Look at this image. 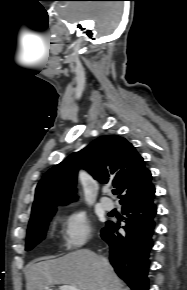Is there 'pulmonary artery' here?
Masks as SVG:
<instances>
[{"instance_id": "obj_1", "label": "pulmonary artery", "mask_w": 187, "mask_h": 290, "mask_svg": "<svg viewBox=\"0 0 187 290\" xmlns=\"http://www.w3.org/2000/svg\"><path fill=\"white\" fill-rule=\"evenodd\" d=\"M100 204L106 211H111L114 208L113 201L107 197H101Z\"/></svg>"}]
</instances>
